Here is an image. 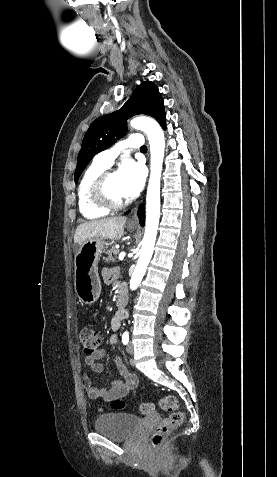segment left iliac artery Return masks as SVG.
<instances>
[{"label":"left iliac artery","instance_id":"obj_1","mask_svg":"<svg viewBox=\"0 0 277 477\" xmlns=\"http://www.w3.org/2000/svg\"><path fill=\"white\" fill-rule=\"evenodd\" d=\"M122 342L124 345L128 344L129 342V334L128 332H124L122 335Z\"/></svg>","mask_w":277,"mask_h":477}]
</instances>
